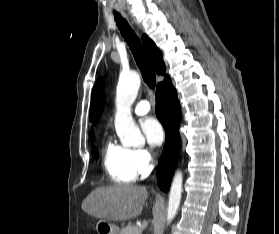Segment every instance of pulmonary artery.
I'll return each instance as SVG.
<instances>
[{
  "instance_id": "e3ab8cb5",
  "label": "pulmonary artery",
  "mask_w": 279,
  "mask_h": 234,
  "mask_svg": "<svg viewBox=\"0 0 279 234\" xmlns=\"http://www.w3.org/2000/svg\"><path fill=\"white\" fill-rule=\"evenodd\" d=\"M150 111V103L147 100L139 101L133 108L136 115H145Z\"/></svg>"
}]
</instances>
